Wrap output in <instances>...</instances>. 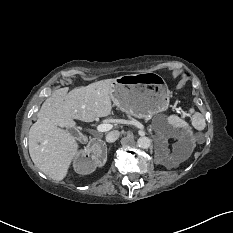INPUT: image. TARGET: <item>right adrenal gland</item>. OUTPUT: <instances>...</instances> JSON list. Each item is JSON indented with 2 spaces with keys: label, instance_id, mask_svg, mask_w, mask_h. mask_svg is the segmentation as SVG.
I'll use <instances>...</instances> for the list:
<instances>
[{
  "label": "right adrenal gland",
  "instance_id": "right-adrenal-gland-1",
  "mask_svg": "<svg viewBox=\"0 0 233 233\" xmlns=\"http://www.w3.org/2000/svg\"><path fill=\"white\" fill-rule=\"evenodd\" d=\"M105 150H106V152H107V147H105Z\"/></svg>",
  "mask_w": 233,
  "mask_h": 233
}]
</instances>
